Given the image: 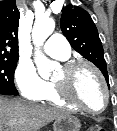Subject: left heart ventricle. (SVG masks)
<instances>
[{
    "mask_svg": "<svg viewBox=\"0 0 117 131\" xmlns=\"http://www.w3.org/2000/svg\"><path fill=\"white\" fill-rule=\"evenodd\" d=\"M60 69L54 80L63 78ZM70 89L73 96L91 110H100L104 103V94L97 76L87 67L76 69L70 77Z\"/></svg>",
    "mask_w": 117,
    "mask_h": 131,
    "instance_id": "obj_1",
    "label": "left heart ventricle"
}]
</instances>
